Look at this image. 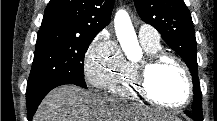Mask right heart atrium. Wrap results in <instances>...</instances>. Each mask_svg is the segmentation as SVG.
Segmentation results:
<instances>
[{"instance_id": "right-heart-atrium-1", "label": "right heart atrium", "mask_w": 217, "mask_h": 121, "mask_svg": "<svg viewBox=\"0 0 217 121\" xmlns=\"http://www.w3.org/2000/svg\"><path fill=\"white\" fill-rule=\"evenodd\" d=\"M124 58L108 31L100 32L89 45L85 55V76L94 87L106 89L118 76Z\"/></svg>"}]
</instances>
